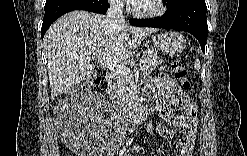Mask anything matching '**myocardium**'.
<instances>
[{
    "label": "myocardium",
    "mask_w": 247,
    "mask_h": 156,
    "mask_svg": "<svg viewBox=\"0 0 247 156\" xmlns=\"http://www.w3.org/2000/svg\"><path fill=\"white\" fill-rule=\"evenodd\" d=\"M165 11L164 2L162 0H154V7L146 12H141L136 5L130 6L131 14L138 19H151L162 15Z\"/></svg>",
    "instance_id": "f54148a6"
}]
</instances>
